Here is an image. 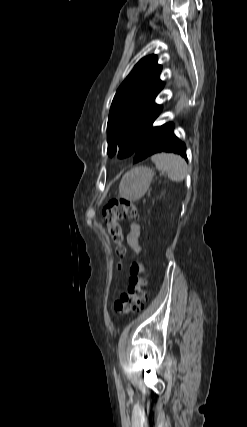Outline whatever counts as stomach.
Returning <instances> with one entry per match:
<instances>
[{
	"label": "stomach",
	"instance_id": "stomach-1",
	"mask_svg": "<svg viewBox=\"0 0 247 427\" xmlns=\"http://www.w3.org/2000/svg\"><path fill=\"white\" fill-rule=\"evenodd\" d=\"M153 171L147 167H135L127 171L119 185V196L129 200L138 201L147 192Z\"/></svg>",
	"mask_w": 247,
	"mask_h": 427
}]
</instances>
